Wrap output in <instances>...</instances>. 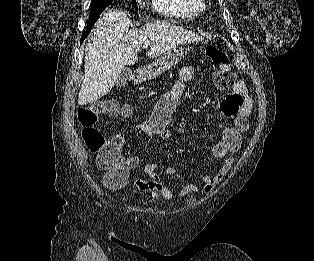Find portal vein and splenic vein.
Here are the masks:
<instances>
[{
    "instance_id": "obj_1",
    "label": "portal vein and splenic vein",
    "mask_w": 314,
    "mask_h": 261,
    "mask_svg": "<svg viewBox=\"0 0 314 261\" xmlns=\"http://www.w3.org/2000/svg\"><path fill=\"white\" fill-rule=\"evenodd\" d=\"M143 49H146L147 47H148V44L147 43H145V44H143Z\"/></svg>"
}]
</instances>
